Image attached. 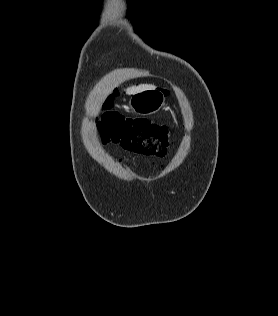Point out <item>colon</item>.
<instances>
[{"label":"colon","instance_id":"obj_1","mask_svg":"<svg viewBox=\"0 0 278 316\" xmlns=\"http://www.w3.org/2000/svg\"><path fill=\"white\" fill-rule=\"evenodd\" d=\"M104 144L113 143L144 155L164 156L170 145L171 129L146 119H132L117 112H108L99 122Z\"/></svg>","mask_w":278,"mask_h":316}]
</instances>
